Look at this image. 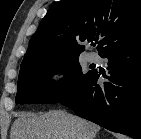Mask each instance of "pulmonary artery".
Instances as JSON below:
<instances>
[{
    "label": "pulmonary artery",
    "instance_id": "1",
    "mask_svg": "<svg viewBox=\"0 0 141 139\" xmlns=\"http://www.w3.org/2000/svg\"><path fill=\"white\" fill-rule=\"evenodd\" d=\"M87 59H88L89 62H96L97 59H98V57H97V55L94 54V53H89V54L87 55Z\"/></svg>",
    "mask_w": 141,
    "mask_h": 139
}]
</instances>
